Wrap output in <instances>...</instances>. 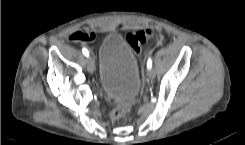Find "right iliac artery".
I'll return each mask as SVG.
<instances>
[{"mask_svg": "<svg viewBox=\"0 0 245 145\" xmlns=\"http://www.w3.org/2000/svg\"><path fill=\"white\" fill-rule=\"evenodd\" d=\"M82 52H83V54L85 55V56H89V52H88V50L86 49V48H83L82 49Z\"/></svg>", "mask_w": 245, "mask_h": 145, "instance_id": "right-iliac-artery-1", "label": "right iliac artery"}]
</instances>
